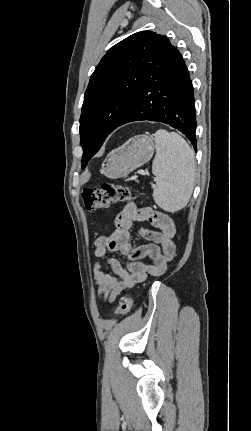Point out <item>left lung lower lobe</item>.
Listing matches in <instances>:
<instances>
[{
	"mask_svg": "<svg viewBox=\"0 0 251 431\" xmlns=\"http://www.w3.org/2000/svg\"><path fill=\"white\" fill-rule=\"evenodd\" d=\"M140 120L162 122L178 129L196 151L193 86L181 54L168 39L118 126ZM95 130L101 131L102 127Z\"/></svg>",
	"mask_w": 251,
	"mask_h": 431,
	"instance_id": "0a47b994",
	"label": "left lung lower lobe"
}]
</instances>
